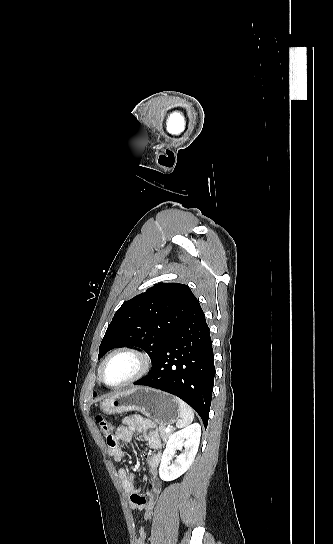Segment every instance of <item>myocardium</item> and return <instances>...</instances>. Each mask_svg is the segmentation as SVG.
Returning a JSON list of instances; mask_svg holds the SVG:
<instances>
[{"label":"myocardium","mask_w":333,"mask_h":544,"mask_svg":"<svg viewBox=\"0 0 333 544\" xmlns=\"http://www.w3.org/2000/svg\"><path fill=\"white\" fill-rule=\"evenodd\" d=\"M119 354H129V355L134 356L138 360V369L131 377L124 380L123 382L115 384V385H110L104 380V376H103L104 368H105L107 362L111 358H113L114 356L119 355ZM151 366H152V360L149 357V355H147L145 352H143V351H141V350H139L137 348H133V347H126V346L125 347H119V348L113 350L112 352H110L105 357V359L102 361V363L100 365V368H99V379L105 386H107L109 388H112V389H118V388L128 386V385L142 379L150 371Z\"/></svg>","instance_id":"f54148a6"}]
</instances>
